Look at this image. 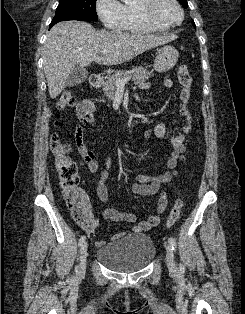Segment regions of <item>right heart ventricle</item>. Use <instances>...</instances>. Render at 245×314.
Here are the masks:
<instances>
[{"label": "right heart ventricle", "instance_id": "right-heart-ventricle-1", "mask_svg": "<svg viewBox=\"0 0 245 314\" xmlns=\"http://www.w3.org/2000/svg\"><path fill=\"white\" fill-rule=\"evenodd\" d=\"M141 0L121 4V26L119 30L131 33L163 32L168 28L157 26L142 16L139 10Z\"/></svg>", "mask_w": 245, "mask_h": 314}]
</instances>
